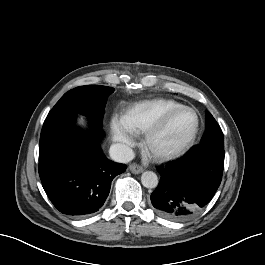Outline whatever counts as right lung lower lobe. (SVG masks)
Listing matches in <instances>:
<instances>
[{
  "label": "right lung lower lobe",
  "mask_w": 265,
  "mask_h": 265,
  "mask_svg": "<svg viewBox=\"0 0 265 265\" xmlns=\"http://www.w3.org/2000/svg\"><path fill=\"white\" fill-rule=\"evenodd\" d=\"M76 113L48 115L40 136L39 175L43 188L63 214L81 217L104 204L111 182L126 165L106 158L101 128L75 131Z\"/></svg>",
  "instance_id": "98d812e1"
}]
</instances>
